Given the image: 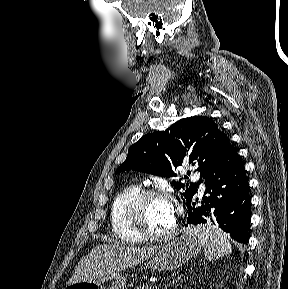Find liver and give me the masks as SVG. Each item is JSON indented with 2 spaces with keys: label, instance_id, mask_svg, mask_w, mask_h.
<instances>
[{
  "label": "liver",
  "instance_id": "obj_1",
  "mask_svg": "<svg viewBox=\"0 0 288 289\" xmlns=\"http://www.w3.org/2000/svg\"><path fill=\"white\" fill-rule=\"evenodd\" d=\"M157 248H136L117 242L97 246L80 260L67 285L95 280L135 266L148 260Z\"/></svg>",
  "mask_w": 288,
  "mask_h": 289
}]
</instances>
